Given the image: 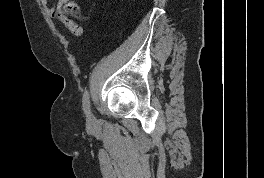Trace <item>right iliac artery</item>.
I'll list each match as a JSON object with an SVG mask.
<instances>
[{"label":"right iliac artery","instance_id":"1","mask_svg":"<svg viewBox=\"0 0 264 178\" xmlns=\"http://www.w3.org/2000/svg\"><path fill=\"white\" fill-rule=\"evenodd\" d=\"M82 102L84 113L88 116V114L90 113V99L88 91L84 93Z\"/></svg>","mask_w":264,"mask_h":178}]
</instances>
